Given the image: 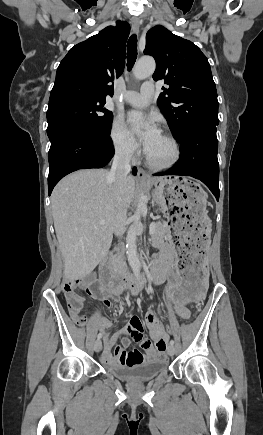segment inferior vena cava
Here are the masks:
<instances>
[{"instance_id":"inferior-vena-cava-1","label":"inferior vena cava","mask_w":263,"mask_h":435,"mask_svg":"<svg viewBox=\"0 0 263 435\" xmlns=\"http://www.w3.org/2000/svg\"><path fill=\"white\" fill-rule=\"evenodd\" d=\"M130 154L129 153H117L114 156L113 164L110 172L108 173L107 179L114 183L118 199L121 200L122 195L125 191V184L127 176L131 170L130 166ZM116 235L120 234V230H115ZM120 266L123 271L127 270L126 262L124 261L122 255H120Z\"/></svg>"}]
</instances>
